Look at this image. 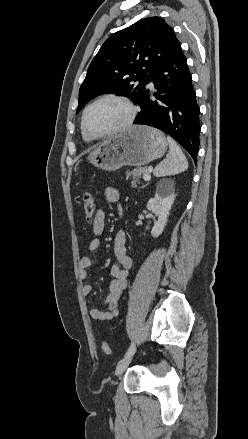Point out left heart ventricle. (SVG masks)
<instances>
[{
	"instance_id": "b2bd125f",
	"label": "left heart ventricle",
	"mask_w": 248,
	"mask_h": 439,
	"mask_svg": "<svg viewBox=\"0 0 248 439\" xmlns=\"http://www.w3.org/2000/svg\"><path fill=\"white\" fill-rule=\"evenodd\" d=\"M127 116L128 111L121 103L105 100L88 111L86 128L93 134H103L122 125Z\"/></svg>"
}]
</instances>
